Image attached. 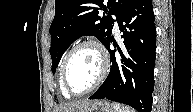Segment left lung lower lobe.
Segmentation results:
<instances>
[{
	"label": "left lung lower lobe",
	"mask_w": 193,
	"mask_h": 112,
	"mask_svg": "<svg viewBox=\"0 0 193 112\" xmlns=\"http://www.w3.org/2000/svg\"><path fill=\"white\" fill-rule=\"evenodd\" d=\"M151 0H133L118 18L122 42L110 50L112 66L105 82L89 99H109L138 112H151L154 89L156 28Z\"/></svg>",
	"instance_id": "left-lung-lower-lobe-1"
}]
</instances>
